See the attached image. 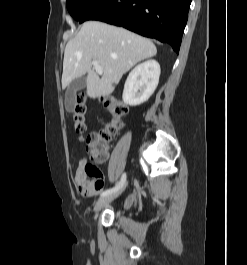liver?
Here are the masks:
<instances>
[{"label": "liver", "mask_w": 247, "mask_h": 265, "mask_svg": "<svg viewBox=\"0 0 247 265\" xmlns=\"http://www.w3.org/2000/svg\"><path fill=\"white\" fill-rule=\"evenodd\" d=\"M156 53V46L149 39L120 27L87 21L65 47L62 88L87 74V95L91 98L108 96L126 72ZM93 61L103 69L101 78L92 68Z\"/></svg>", "instance_id": "liver-1"}]
</instances>
